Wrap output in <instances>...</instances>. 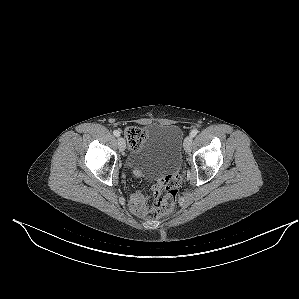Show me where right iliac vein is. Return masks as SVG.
<instances>
[{"label":"right iliac vein","mask_w":299,"mask_h":299,"mask_svg":"<svg viewBox=\"0 0 299 299\" xmlns=\"http://www.w3.org/2000/svg\"><path fill=\"white\" fill-rule=\"evenodd\" d=\"M118 146H119L120 151L123 152V151L125 150V148H126V143H125V140H124L123 137H119V138H118Z\"/></svg>","instance_id":"1"}]
</instances>
